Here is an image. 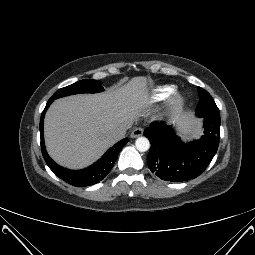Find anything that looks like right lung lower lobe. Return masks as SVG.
Returning <instances> with one entry per match:
<instances>
[{"mask_svg":"<svg viewBox=\"0 0 255 255\" xmlns=\"http://www.w3.org/2000/svg\"><path fill=\"white\" fill-rule=\"evenodd\" d=\"M53 101L49 100L46 107L41 115L40 119V135H41V151L45 159L46 164L49 168L62 180L76 187L94 185L103 180L107 174L111 171L120 150L128 142L127 138L117 142L113 147L109 148L108 151L95 162L93 165L82 170H69L65 169L56 164L47 154L44 137H43V121L45 112Z\"/></svg>","mask_w":255,"mask_h":255,"instance_id":"1","label":"right lung lower lobe"}]
</instances>
